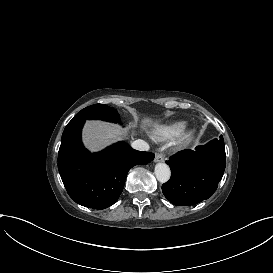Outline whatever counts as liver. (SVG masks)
Returning a JSON list of instances; mask_svg holds the SVG:
<instances>
[{
	"label": "liver",
	"mask_w": 273,
	"mask_h": 273,
	"mask_svg": "<svg viewBox=\"0 0 273 273\" xmlns=\"http://www.w3.org/2000/svg\"><path fill=\"white\" fill-rule=\"evenodd\" d=\"M163 119L161 117H140L139 130L131 128L135 122L124 125L120 122L104 121L99 119L85 120L81 129L82 146L90 153H99L116 142L123 141L125 136H139L143 132L158 129Z\"/></svg>",
	"instance_id": "6515ba94"
}]
</instances>
